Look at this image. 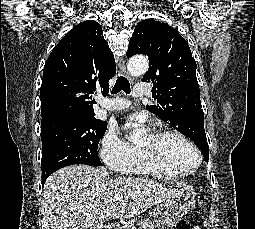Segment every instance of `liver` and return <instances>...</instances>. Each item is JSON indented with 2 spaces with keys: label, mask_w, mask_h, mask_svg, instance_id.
<instances>
[{
  "label": "liver",
  "mask_w": 255,
  "mask_h": 229,
  "mask_svg": "<svg viewBox=\"0 0 255 229\" xmlns=\"http://www.w3.org/2000/svg\"><path fill=\"white\" fill-rule=\"evenodd\" d=\"M174 190L143 178H109L104 167L78 164L48 177L43 205L51 229H100L105 219L137 216Z\"/></svg>",
  "instance_id": "liver-1"
}]
</instances>
